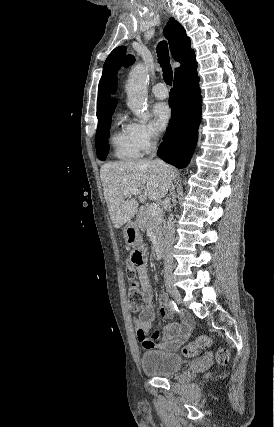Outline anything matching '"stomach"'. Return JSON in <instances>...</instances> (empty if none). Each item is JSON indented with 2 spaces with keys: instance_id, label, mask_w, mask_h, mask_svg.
Listing matches in <instances>:
<instances>
[{
  "instance_id": "0dacf381",
  "label": "stomach",
  "mask_w": 274,
  "mask_h": 427,
  "mask_svg": "<svg viewBox=\"0 0 274 427\" xmlns=\"http://www.w3.org/2000/svg\"><path fill=\"white\" fill-rule=\"evenodd\" d=\"M125 241L129 247H135L142 243V235L139 231V227L136 225V221H128L123 229Z\"/></svg>"
}]
</instances>
